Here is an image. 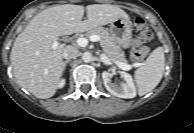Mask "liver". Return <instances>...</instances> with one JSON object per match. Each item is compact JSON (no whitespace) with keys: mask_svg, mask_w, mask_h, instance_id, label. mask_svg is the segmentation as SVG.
<instances>
[{"mask_svg":"<svg viewBox=\"0 0 194 133\" xmlns=\"http://www.w3.org/2000/svg\"><path fill=\"white\" fill-rule=\"evenodd\" d=\"M85 8L81 5H57L38 13L17 36L11 49L10 60L18 84L35 97H52L63 74L65 47L52 48L62 35L82 33L128 18L118 6L93 4L86 7L87 19L82 21Z\"/></svg>","mask_w":194,"mask_h":133,"instance_id":"1","label":"liver"}]
</instances>
